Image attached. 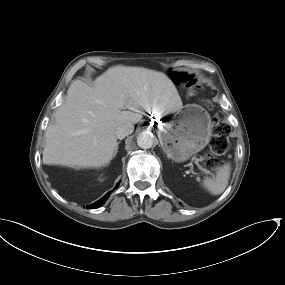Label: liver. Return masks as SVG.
<instances>
[{
	"label": "liver",
	"instance_id": "liver-1",
	"mask_svg": "<svg viewBox=\"0 0 285 285\" xmlns=\"http://www.w3.org/2000/svg\"><path fill=\"white\" fill-rule=\"evenodd\" d=\"M182 107L177 89L162 72L115 66L97 77L94 87L75 80L45 132L43 163L103 167L114 157L119 126L138 123L143 111L166 115Z\"/></svg>",
	"mask_w": 285,
	"mask_h": 285
}]
</instances>
